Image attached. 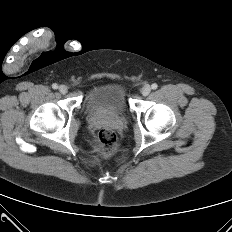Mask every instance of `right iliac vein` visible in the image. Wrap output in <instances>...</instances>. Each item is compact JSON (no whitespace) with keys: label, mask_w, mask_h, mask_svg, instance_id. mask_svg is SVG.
Listing matches in <instances>:
<instances>
[{"label":"right iliac vein","mask_w":232,"mask_h":232,"mask_svg":"<svg viewBox=\"0 0 232 232\" xmlns=\"http://www.w3.org/2000/svg\"><path fill=\"white\" fill-rule=\"evenodd\" d=\"M58 89H59V92L62 94H65L68 91V88L66 85H60Z\"/></svg>","instance_id":"1"}]
</instances>
